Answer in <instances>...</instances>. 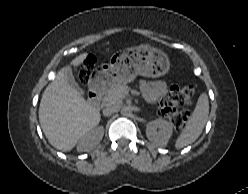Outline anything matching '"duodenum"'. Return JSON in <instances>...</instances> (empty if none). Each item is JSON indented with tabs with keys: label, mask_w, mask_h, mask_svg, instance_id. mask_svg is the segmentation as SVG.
Returning <instances> with one entry per match:
<instances>
[{
	"label": "duodenum",
	"mask_w": 248,
	"mask_h": 194,
	"mask_svg": "<svg viewBox=\"0 0 248 194\" xmlns=\"http://www.w3.org/2000/svg\"><path fill=\"white\" fill-rule=\"evenodd\" d=\"M101 85L95 82L88 93V104L91 108H97L100 103Z\"/></svg>",
	"instance_id": "duodenum-1"
}]
</instances>
